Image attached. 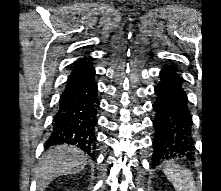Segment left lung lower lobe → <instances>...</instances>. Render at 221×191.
<instances>
[{"mask_svg": "<svg viewBox=\"0 0 221 191\" xmlns=\"http://www.w3.org/2000/svg\"><path fill=\"white\" fill-rule=\"evenodd\" d=\"M161 81L155 87L157 95L153 108L156 129L153 145L152 163L155 166L164 159L174 157L193 158V121L184 89V79L173 67L160 71Z\"/></svg>", "mask_w": 221, "mask_h": 191, "instance_id": "left-lung-lower-lobe-1", "label": "left lung lower lobe"}]
</instances>
